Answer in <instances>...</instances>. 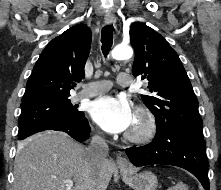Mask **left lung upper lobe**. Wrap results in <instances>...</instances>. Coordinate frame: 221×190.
<instances>
[{"mask_svg":"<svg viewBox=\"0 0 221 190\" xmlns=\"http://www.w3.org/2000/svg\"><path fill=\"white\" fill-rule=\"evenodd\" d=\"M130 43L135 49L132 74L149 81L150 95H141L156 125L178 128L203 139L198 100L175 50L152 28L133 23Z\"/></svg>","mask_w":221,"mask_h":190,"instance_id":"5c2ea615","label":"left lung upper lobe"}]
</instances>
